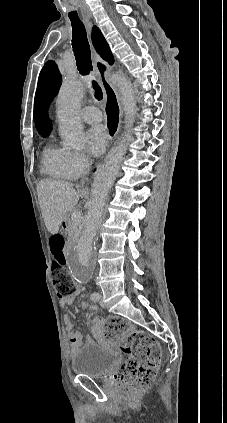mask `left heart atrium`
Returning a JSON list of instances; mask_svg holds the SVG:
<instances>
[{"mask_svg": "<svg viewBox=\"0 0 227 423\" xmlns=\"http://www.w3.org/2000/svg\"><path fill=\"white\" fill-rule=\"evenodd\" d=\"M86 137L90 153L93 156H99L105 151L108 145L109 135L104 127L99 126L90 129Z\"/></svg>", "mask_w": 227, "mask_h": 423, "instance_id": "39dd6f15", "label": "left heart atrium"}]
</instances>
